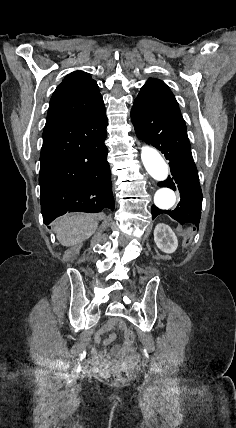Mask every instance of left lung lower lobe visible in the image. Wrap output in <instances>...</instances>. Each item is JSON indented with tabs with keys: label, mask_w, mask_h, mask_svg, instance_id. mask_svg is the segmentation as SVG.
Segmentation results:
<instances>
[{
	"label": "left lung lower lobe",
	"mask_w": 236,
	"mask_h": 428,
	"mask_svg": "<svg viewBox=\"0 0 236 428\" xmlns=\"http://www.w3.org/2000/svg\"><path fill=\"white\" fill-rule=\"evenodd\" d=\"M131 120L137 136L160 150L170 161L172 176L158 185L178 190L181 197L174 210H160L152 205V219L168 214L180 224L192 223L196 227L194 230L198 229L203 195L182 115L133 106Z\"/></svg>",
	"instance_id": "left-lung-lower-lobe-1"
}]
</instances>
